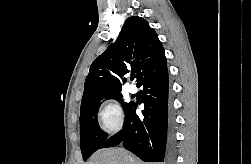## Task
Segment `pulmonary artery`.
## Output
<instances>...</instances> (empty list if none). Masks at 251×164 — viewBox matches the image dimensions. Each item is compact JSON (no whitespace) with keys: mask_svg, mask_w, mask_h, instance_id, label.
<instances>
[{"mask_svg":"<svg viewBox=\"0 0 251 164\" xmlns=\"http://www.w3.org/2000/svg\"><path fill=\"white\" fill-rule=\"evenodd\" d=\"M127 89L132 94H135L137 92V87L135 84H129Z\"/></svg>","mask_w":251,"mask_h":164,"instance_id":"pulmonary-artery-1","label":"pulmonary artery"}]
</instances>
